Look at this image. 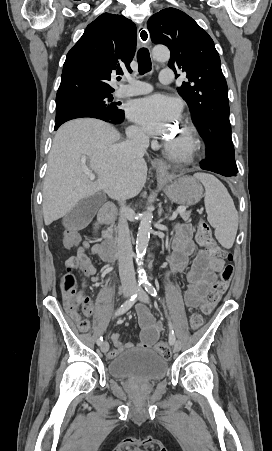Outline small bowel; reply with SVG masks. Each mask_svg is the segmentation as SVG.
I'll return each mask as SVG.
<instances>
[{"label": "small bowel", "mask_w": 272, "mask_h": 451, "mask_svg": "<svg viewBox=\"0 0 272 451\" xmlns=\"http://www.w3.org/2000/svg\"><path fill=\"white\" fill-rule=\"evenodd\" d=\"M174 238L172 241V253L167 256V269L165 278L173 273L185 274L187 279V288L184 292V304L188 308H195L199 305L200 300L207 293L211 283L215 279V275L224 266V260H209V252L206 249H198L193 241V228L188 223H178L174 227ZM98 252V247H91L88 241L80 243L76 256H88V252ZM194 257L191 262L190 259ZM93 265V264H92ZM97 273V270H96ZM96 274H83V283L86 286L91 277ZM66 300H64V303ZM72 319L79 320L80 316L75 313V309H66ZM92 313H84L90 316ZM138 318L142 329L140 342L138 346L141 348H149L153 346L162 330L161 321H153L147 308L143 305L138 307ZM114 349L111 350L107 357L113 359L124 350L134 347L131 342L124 343L120 339L118 333L111 336Z\"/></svg>", "instance_id": "c3829d8e"}]
</instances>
